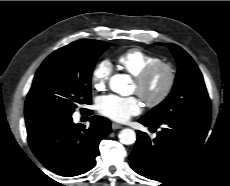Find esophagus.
Listing matches in <instances>:
<instances>
[{
	"mask_svg": "<svg viewBox=\"0 0 230 186\" xmlns=\"http://www.w3.org/2000/svg\"><path fill=\"white\" fill-rule=\"evenodd\" d=\"M111 127L113 130H116V129H121L123 126L118 123H112Z\"/></svg>",
	"mask_w": 230,
	"mask_h": 186,
	"instance_id": "obj_1",
	"label": "esophagus"
}]
</instances>
